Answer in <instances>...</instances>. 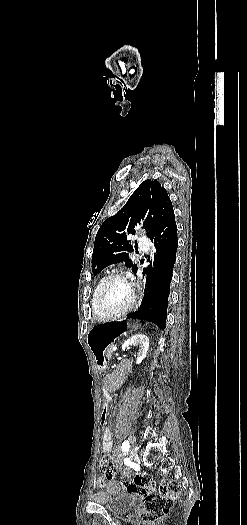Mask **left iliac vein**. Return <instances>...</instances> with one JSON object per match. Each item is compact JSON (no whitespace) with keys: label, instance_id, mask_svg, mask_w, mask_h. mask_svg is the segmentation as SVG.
<instances>
[{"label":"left iliac vein","instance_id":"4c4485c4","mask_svg":"<svg viewBox=\"0 0 247 525\" xmlns=\"http://www.w3.org/2000/svg\"><path fill=\"white\" fill-rule=\"evenodd\" d=\"M129 455H130V459L134 460L137 456V450L135 448H132Z\"/></svg>","mask_w":247,"mask_h":525}]
</instances>
